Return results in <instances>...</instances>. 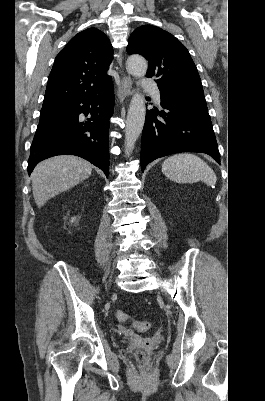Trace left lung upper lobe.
<instances>
[{"mask_svg":"<svg viewBox=\"0 0 265 401\" xmlns=\"http://www.w3.org/2000/svg\"><path fill=\"white\" fill-rule=\"evenodd\" d=\"M128 54L148 60L147 77H156L160 91L172 94L204 95L197 68L185 46L167 31L143 25L131 34Z\"/></svg>","mask_w":265,"mask_h":401,"instance_id":"1","label":"left lung upper lobe"}]
</instances>
